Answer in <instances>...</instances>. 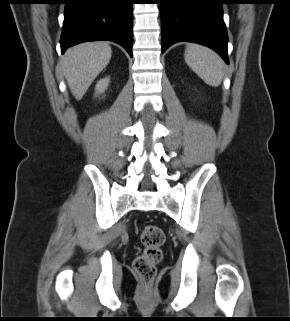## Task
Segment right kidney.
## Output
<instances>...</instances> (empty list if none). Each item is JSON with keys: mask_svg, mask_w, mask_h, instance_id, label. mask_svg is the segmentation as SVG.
Here are the masks:
<instances>
[{"mask_svg": "<svg viewBox=\"0 0 290 321\" xmlns=\"http://www.w3.org/2000/svg\"><path fill=\"white\" fill-rule=\"evenodd\" d=\"M108 84H109V77L99 80L95 86L96 94L104 93V91L108 87Z\"/></svg>", "mask_w": 290, "mask_h": 321, "instance_id": "obj_1", "label": "right kidney"}]
</instances>
